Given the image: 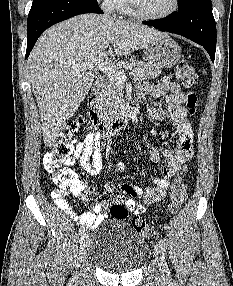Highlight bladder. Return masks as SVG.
I'll return each mask as SVG.
<instances>
[{"instance_id":"31cf9c89","label":"bladder","mask_w":233,"mask_h":286,"mask_svg":"<svg viewBox=\"0 0 233 286\" xmlns=\"http://www.w3.org/2000/svg\"><path fill=\"white\" fill-rule=\"evenodd\" d=\"M87 249L91 262L109 273L133 272L150 257L146 239L121 221H110L98 228Z\"/></svg>"}]
</instances>
